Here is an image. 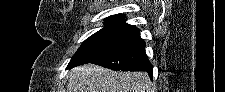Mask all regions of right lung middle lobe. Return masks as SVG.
Instances as JSON below:
<instances>
[{"instance_id": "right-lung-middle-lobe-1", "label": "right lung middle lobe", "mask_w": 225, "mask_h": 92, "mask_svg": "<svg viewBox=\"0 0 225 92\" xmlns=\"http://www.w3.org/2000/svg\"><path fill=\"white\" fill-rule=\"evenodd\" d=\"M140 30L118 24H105V27L86 39L74 56L67 69L83 65L115 49L127 46L140 39Z\"/></svg>"}]
</instances>
